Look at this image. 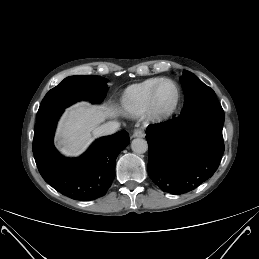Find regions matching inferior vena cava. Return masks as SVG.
Listing matches in <instances>:
<instances>
[{
    "label": "inferior vena cava",
    "mask_w": 259,
    "mask_h": 259,
    "mask_svg": "<svg viewBox=\"0 0 259 259\" xmlns=\"http://www.w3.org/2000/svg\"><path fill=\"white\" fill-rule=\"evenodd\" d=\"M119 126H120V124L117 121H109L105 124L98 126L93 131V134L96 136L111 135L118 130Z\"/></svg>",
    "instance_id": "inferior-vena-cava-1"
}]
</instances>
